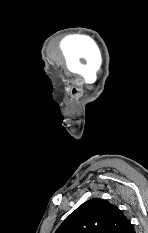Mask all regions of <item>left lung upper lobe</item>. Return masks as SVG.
Returning a JSON list of instances; mask_svg holds the SVG:
<instances>
[{"label": "left lung upper lobe", "mask_w": 148, "mask_h": 233, "mask_svg": "<svg viewBox=\"0 0 148 233\" xmlns=\"http://www.w3.org/2000/svg\"><path fill=\"white\" fill-rule=\"evenodd\" d=\"M133 225L115 205L93 198L71 213L55 233H130Z\"/></svg>", "instance_id": "left-lung-upper-lobe-1"}]
</instances>
